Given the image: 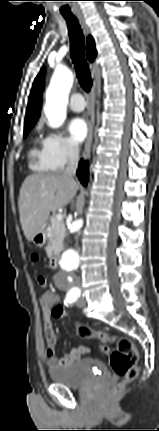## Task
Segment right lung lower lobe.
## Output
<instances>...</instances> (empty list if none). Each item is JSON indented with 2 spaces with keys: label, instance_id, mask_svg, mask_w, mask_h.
Instances as JSON below:
<instances>
[{
  "label": "right lung lower lobe",
  "instance_id": "right-lung-lower-lobe-1",
  "mask_svg": "<svg viewBox=\"0 0 159 431\" xmlns=\"http://www.w3.org/2000/svg\"><path fill=\"white\" fill-rule=\"evenodd\" d=\"M77 175L80 182L86 186L88 180V169L87 166H83V161L81 160L79 168L77 170Z\"/></svg>",
  "mask_w": 159,
  "mask_h": 431
}]
</instances>
